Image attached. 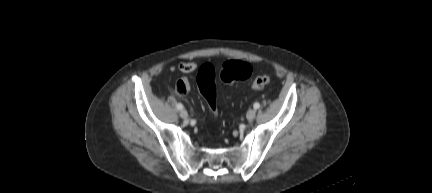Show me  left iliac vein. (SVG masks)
Returning <instances> with one entry per match:
<instances>
[{
  "label": "left iliac vein",
  "instance_id": "obj_1",
  "mask_svg": "<svg viewBox=\"0 0 432 193\" xmlns=\"http://www.w3.org/2000/svg\"><path fill=\"white\" fill-rule=\"evenodd\" d=\"M255 116H256V111L254 109H249L246 114L247 119L251 121L255 118Z\"/></svg>",
  "mask_w": 432,
  "mask_h": 193
}]
</instances>
